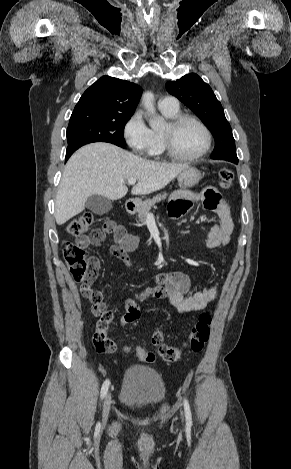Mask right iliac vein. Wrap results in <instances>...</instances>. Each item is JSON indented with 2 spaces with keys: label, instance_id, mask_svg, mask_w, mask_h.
I'll list each match as a JSON object with an SVG mask.
<instances>
[{
  "label": "right iliac vein",
  "instance_id": "obj_1",
  "mask_svg": "<svg viewBox=\"0 0 291 469\" xmlns=\"http://www.w3.org/2000/svg\"><path fill=\"white\" fill-rule=\"evenodd\" d=\"M111 403H112V397H111V393L109 392L106 395L105 400H104V404H103V410H102L103 424H106V422H107L109 412H110Z\"/></svg>",
  "mask_w": 291,
  "mask_h": 469
}]
</instances>
